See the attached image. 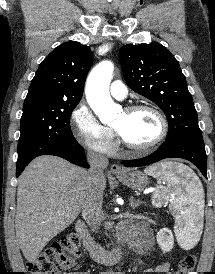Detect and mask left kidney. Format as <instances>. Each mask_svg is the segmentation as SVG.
Returning <instances> with one entry per match:
<instances>
[{"label":"left kidney","mask_w":215,"mask_h":274,"mask_svg":"<svg viewBox=\"0 0 215 274\" xmlns=\"http://www.w3.org/2000/svg\"><path fill=\"white\" fill-rule=\"evenodd\" d=\"M157 243L163 253L170 252L174 246V237L171 230L161 229L156 236Z\"/></svg>","instance_id":"1"}]
</instances>
